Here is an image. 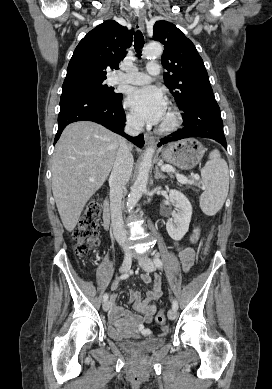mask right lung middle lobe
I'll list each match as a JSON object with an SVG mask.
<instances>
[{
  "instance_id": "dd1d6c3e",
  "label": "right lung middle lobe",
  "mask_w": 272,
  "mask_h": 389,
  "mask_svg": "<svg viewBox=\"0 0 272 389\" xmlns=\"http://www.w3.org/2000/svg\"><path fill=\"white\" fill-rule=\"evenodd\" d=\"M104 80L83 81L62 86V93H88L96 95L108 101H118L122 99V94L115 93L113 88L103 84Z\"/></svg>"
}]
</instances>
